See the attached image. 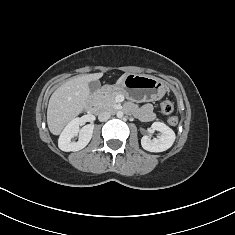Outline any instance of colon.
I'll return each instance as SVG.
<instances>
[{"instance_id":"obj_1","label":"colon","mask_w":235,"mask_h":235,"mask_svg":"<svg viewBox=\"0 0 235 235\" xmlns=\"http://www.w3.org/2000/svg\"><path fill=\"white\" fill-rule=\"evenodd\" d=\"M160 109L164 115H170V114H172V112L174 110V106L170 101H163L160 105ZM169 122L171 125H176L178 122V119H177V117L172 116V117H170Z\"/></svg>"}]
</instances>
